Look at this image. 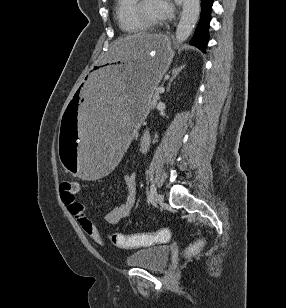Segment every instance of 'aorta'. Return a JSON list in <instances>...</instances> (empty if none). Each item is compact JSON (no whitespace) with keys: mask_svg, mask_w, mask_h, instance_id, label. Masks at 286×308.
<instances>
[{"mask_svg":"<svg viewBox=\"0 0 286 308\" xmlns=\"http://www.w3.org/2000/svg\"><path fill=\"white\" fill-rule=\"evenodd\" d=\"M199 14L200 0H183L182 14L175 33L178 43L189 38L198 21Z\"/></svg>","mask_w":286,"mask_h":308,"instance_id":"obj_1","label":"aorta"}]
</instances>
